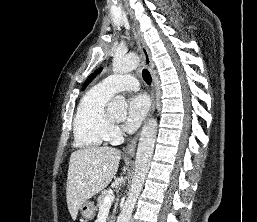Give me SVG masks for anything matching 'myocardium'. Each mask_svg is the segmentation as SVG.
Returning a JSON list of instances; mask_svg holds the SVG:
<instances>
[{"instance_id":"obj_1","label":"myocardium","mask_w":257,"mask_h":222,"mask_svg":"<svg viewBox=\"0 0 257 222\" xmlns=\"http://www.w3.org/2000/svg\"><path fill=\"white\" fill-rule=\"evenodd\" d=\"M106 119L109 125H112L114 123V121L111 119L110 115L107 113L106 114Z\"/></svg>"}]
</instances>
